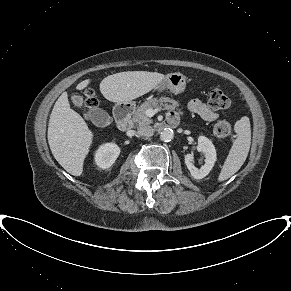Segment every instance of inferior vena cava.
Masks as SVG:
<instances>
[{
	"instance_id": "1",
	"label": "inferior vena cava",
	"mask_w": 291,
	"mask_h": 291,
	"mask_svg": "<svg viewBox=\"0 0 291 291\" xmlns=\"http://www.w3.org/2000/svg\"><path fill=\"white\" fill-rule=\"evenodd\" d=\"M138 135L142 137H151L154 134V129L151 126H143L138 129Z\"/></svg>"
}]
</instances>
